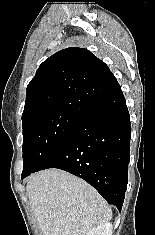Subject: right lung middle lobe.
I'll return each mask as SVG.
<instances>
[{
	"label": "right lung middle lobe",
	"instance_id": "right-lung-middle-lobe-1",
	"mask_svg": "<svg viewBox=\"0 0 155 235\" xmlns=\"http://www.w3.org/2000/svg\"><path fill=\"white\" fill-rule=\"evenodd\" d=\"M86 122L60 107H44L22 115V173L38 168Z\"/></svg>",
	"mask_w": 155,
	"mask_h": 235
}]
</instances>
